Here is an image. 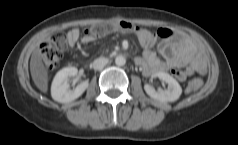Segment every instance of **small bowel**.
I'll use <instances>...</instances> for the list:
<instances>
[{
  "instance_id": "obj_1",
  "label": "small bowel",
  "mask_w": 238,
  "mask_h": 145,
  "mask_svg": "<svg viewBox=\"0 0 238 145\" xmlns=\"http://www.w3.org/2000/svg\"><path fill=\"white\" fill-rule=\"evenodd\" d=\"M135 35L145 49L143 54L135 59V63L141 67L144 75H152L168 71L170 69L181 67L183 70L174 71L180 81H184L188 75L206 72V63L199 52L188 43L176 44L170 40H164L160 45L162 53L178 52L169 59H162L152 49L157 36L168 37L170 31L168 29H159L156 34L151 33L147 29H140ZM69 42L75 44L78 40V33L72 30L68 34Z\"/></svg>"
}]
</instances>
